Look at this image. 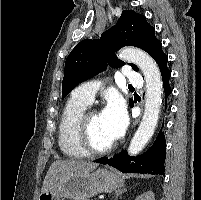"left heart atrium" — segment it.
<instances>
[{"mask_svg":"<svg viewBox=\"0 0 201 200\" xmlns=\"http://www.w3.org/2000/svg\"><path fill=\"white\" fill-rule=\"evenodd\" d=\"M101 114L111 138L114 141L119 139L127 127V115L123 104L119 100H111Z\"/></svg>","mask_w":201,"mask_h":200,"instance_id":"39dd6f15","label":"left heart atrium"}]
</instances>
